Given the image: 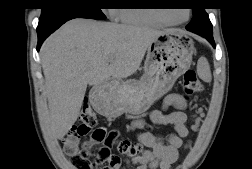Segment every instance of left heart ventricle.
Segmentation results:
<instances>
[{
  "instance_id": "1",
  "label": "left heart ventricle",
  "mask_w": 252,
  "mask_h": 169,
  "mask_svg": "<svg viewBox=\"0 0 252 169\" xmlns=\"http://www.w3.org/2000/svg\"><path fill=\"white\" fill-rule=\"evenodd\" d=\"M186 10L185 9H174V10H167L164 13V16L172 21H182L186 18Z\"/></svg>"
}]
</instances>
